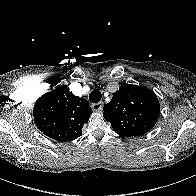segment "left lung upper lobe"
<instances>
[{"mask_svg": "<svg viewBox=\"0 0 196 196\" xmlns=\"http://www.w3.org/2000/svg\"><path fill=\"white\" fill-rule=\"evenodd\" d=\"M104 118L121 136H140L156 124L160 105L155 93L146 88L122 84L104 107Z\"/></svg>", "mask_w": 196, "mask_h": 196, "instance_id": "obj_1", "label": "left lung upper lobe"}]
</instances>
